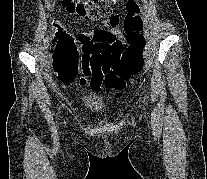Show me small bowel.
Returning a JSON list of instances; mask_svg holds the SVG:
<instances>
[{"instance_id":"c3829d8e","label":"small bowel","mask_w":207,"mask_h":179,"mask_svg":"<svg viewBox=\"0 0 207 179\" xmlns=\"http://www.w3.org/2000/svg\"><path fill=\"white\" fill-rule=\"evenodd\" d=\"M120 21V16L118 14H114L111 17H109L108 19H103L102 23L105 26L104 30H107L111 33H113L115 36L119 35V30H118V24ZM98 30L101 29H93V30H85V31H81L78 35L79 40H84L86 38L91 37L92 35H94ZM94 87H100L99 84H94Z\"/></svg>"}]
</instances>
